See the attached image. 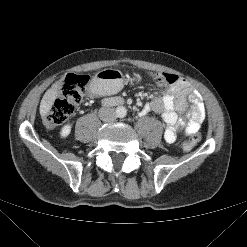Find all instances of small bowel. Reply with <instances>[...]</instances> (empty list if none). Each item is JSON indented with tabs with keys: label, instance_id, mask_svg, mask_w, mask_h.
<instances>
[{
	"label": "small bowel",
	"instance_id": "small-bowel-1",
	"mask_svg": "<svg viewBox=\"0 0 247 247\" xmlns=\"http://www.w3.org/2000/svg\"><path fill=\"white\" fill-rule=\"evenodd\" d=\"M151 111L161 114L165 123L164 138L168 143L175 142L178 125L184 126L185 136H190L199 130L205 119V106L199 93L185 80H179L162 97L146 103L142 114Z\"/></svg>",
	"mask_w": 247,
	"mask_h": 247
}]
</instances>
